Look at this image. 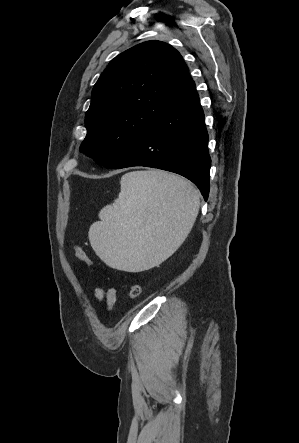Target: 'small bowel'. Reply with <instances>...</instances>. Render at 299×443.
I'll use <instances>...</instances> for the list:
<instances>
[{
  "instance_id": "small-bowel-1",
  "label": "small bowel",
  "mask_w": 299,
  "mask_h": 443,
  "mask_svg": "<svg viewBox=\"0 0 299 443\" xmlns=\"http://www.w3.org/2000/svg\"><path fill=\"white\" fill-rule=\"evenodd\" d=\"M95 296L99 301L106 302L108 308H111L116 301V291L114 288H109L107 290L97 288Z\"/></svg>"
}]
</instances>
